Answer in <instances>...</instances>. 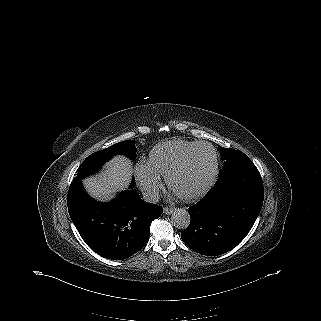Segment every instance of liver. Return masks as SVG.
Masks as SVG:
<instances>
[{
  "instance_id": "liver-1",
  "label": "liver",
  "mask_w": 321,
  "mask_h": 321,
  "mask_svg": "<svg viewBox=\"0 0 321 321\" xmlns=\"http://www.w3.org/2000/svg\"><path fill=\"white\" fill-rule=\"evenodd\" d=\"M131 174L130 161L124 156H116L107 163L101 175L85 179L83 185L92 197L107 201L113 198L117 190L128 185Z\"/></svg>"
}]
</instances>
